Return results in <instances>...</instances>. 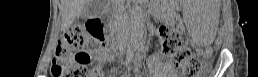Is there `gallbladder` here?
Masks as SVG:
<instances>
[{"instance_id":"1","label":"gallbladder","mask_w":258,"mask_h":77,"mask_svg":"<svg viewBox=\"0 0 258 77\" xmlns=\"http://www.w3.org/2000/svg\"><path fill=\"white\" fill-rule=\"evenodd\" d=\"M95 2H96V1H91V2L88 4L87 8H86L85 11H84V15H85L86 17L93 16L94 14H98V13H99L100 9L97 8Z\"/></svg>"}]
</instances>
